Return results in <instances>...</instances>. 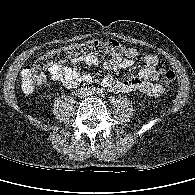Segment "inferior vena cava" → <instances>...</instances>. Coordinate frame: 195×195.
I'll return each instance as SVG.
<instances>
[{
  "label": "inferior vena cava",
  "mask_w": 195,
  "mask_h": 195,
  "mask_svg": "<svg viewBox=\"0 0 195 195\" xmlns=\"http://www.w3.org/2000/svg\"><path fill=\"white\" fill-rule=\"evenodd\" d=\"M79 94L81 95V97H87V96H90L92 92L89 89L84 88L80 90Z\"/></svg>",
  "instance_id": "inferior-vena-cava-1"
}]
</instances>
